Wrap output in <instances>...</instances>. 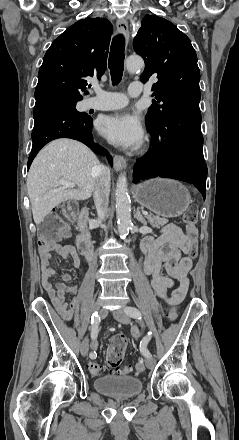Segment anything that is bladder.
<instances>
[{"label": "bladder", "instance_id": "obj_1", "mask_svg": "<svg viewBox=\"0 0 239 440\" xmlns=\"http://www.w3.org/2000/svg\"><path fill=\"white\" fill-rule=\"evenodd\" d=\"M94 388L103 395L127 399L137 396L143 389V383L133 376H104L95 379Z\"/></svg>", "mask_w": 239, "mask_h": 440}]
</instances>
